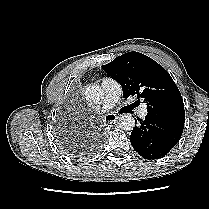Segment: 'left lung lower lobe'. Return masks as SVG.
I'll return each mask as SVG.
<instances>
[{
    "label": "left lung lower lobe",
    "instance_id": "1",
    "mask_svg": "<svg viewBox=\"0 0 209 209\" xmlns=\"http://www.w3.org/2000/svg\"><path fill=\"white\" fill-rule=\"evenodd\" d=\"M184 126L161 121L147 115L144 121L135 126L130 142L143 158L154 160L163 158L178 143Z\"/></svg>",
    "mask_w": 209,
    "mask_h": 209
}]
</instances>
